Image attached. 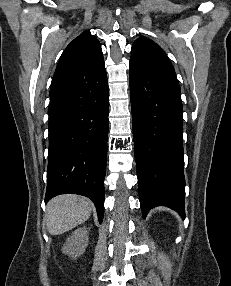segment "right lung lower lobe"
Instances as JSON below:
<instances>
[{"mask_svg": "<svg viewBox=\"0 0 231 286\" xmlns=\"http://www.w3.org/2000/svg\"><path fill=\"white\" fill-rule=\"evenodd\" d=\"M109 96L106 71L51 96L45 202L74 193L90 198L101 223L107 158Z\"/></svg>", "mask_w": 231, "mask_h": 286, "instance_id": "98d812e1", "label": "right lung lower lobe"}]
</instances>
